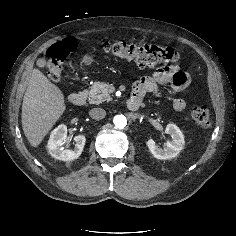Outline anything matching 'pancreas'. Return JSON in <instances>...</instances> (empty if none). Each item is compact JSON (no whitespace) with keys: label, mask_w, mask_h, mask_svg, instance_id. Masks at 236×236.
<instances>
[{"label":"pancreas","mask_w":236,"mask_h":236,"mask_svg":"<svg viewBox=\"0 0 236 236\" xmlns=\"http://www.w3.org/2000/svg\"><path fill=\"white\" fill-rule=\"evenodd\" d=\"M109 83L95 82L88 92V101L90 104H100L104 101H110Z\"/></svg>","instance_id":"cf45deb5"}]
</instances>
